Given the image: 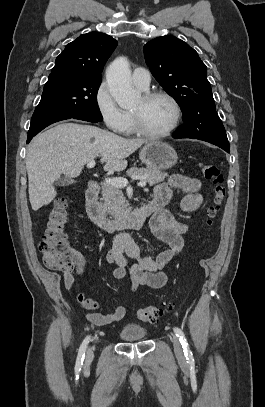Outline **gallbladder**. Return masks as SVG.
Masks as SVG:
<instances>
[{
	"label": "gallbladder",
	"mask_w": 265,
	"mask_h": 407,
	"mask_svg": "<svg viewBox=\"0 0 265 407\" xmlns=\"http://www.w3.org/2000/svg\"><path fill=\"white\" fill-rule=\"evenodd\" d=\"M73 183H75V181L73 179L68 178V177H60L55 182V184L57 186H68V185L73 184Z\"/></svg>",
	"instance_id": "1"
}]
</instances>
